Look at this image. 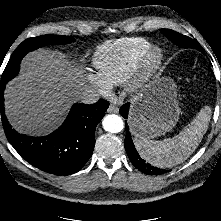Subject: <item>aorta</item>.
Listing matches in <instances>:
<instances>
[{
    "mask_svg": "<svg viewBox=\"0 0 221 221\" xmlns=\"http://www.w3.org/2000/svg\"><path fill=\"white\" fill-rule=\"evenodd\" d=\"M104 130L110 133H118L123 130L124 123L121 117L115 114L107 115L102 122Z\"/></svg>",
    "mask_w": 221,
    "mask_h": 221,
    "instance_id": "obj_1",
    "label": "aorta"
}]
</instances>
